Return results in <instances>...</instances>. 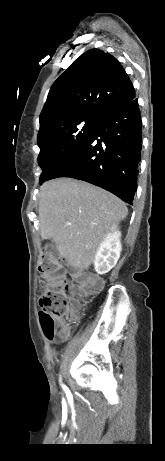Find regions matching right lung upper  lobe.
I'll return each instance as SVG.
<instances>
[{"mask_svg": "<svg viewBox=\"0 0 165 461\" xmlns=\"http://www.w3.org/2000/svg\"><path fill=\"white\" fill-rule=\"evenodd\" d=\"M135 98L133 84L111 54L91 49L54 82L40 114L38 136L51 125L70 118H102Z\"/></svg>", "mask_w": 165, "mask_h": 461, "instance_id": "1", "label": "right lung upper lobe"}]
</instances>
